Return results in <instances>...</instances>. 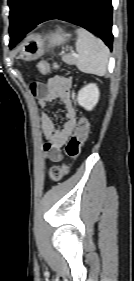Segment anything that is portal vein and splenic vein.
I'll list each match as a JSON object with an SVG mask.
<instances>
[{"label": "portal vein and splenic vein", "instance_id": "1", "mask_svg": "<svg viewBox=\"0 0 134 281\" xmlns=\"http://www.w3.org/2000/svg\"><path fill=\"white\" fill-rule=\"evenodd\" d=\"M72 55H73V56H76V53H75V52H72Z\"/></svg>", "mask_w": 134, "mask_h": 281}]
</instances>
